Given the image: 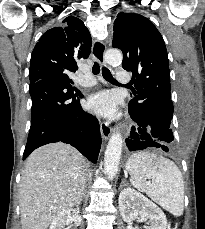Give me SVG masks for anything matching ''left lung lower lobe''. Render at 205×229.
Returning a JSON list of instances; mask_svg holds the SVG:
<instances>
[{
    "label": "left lung lower lobe",
    "instance_id": "left-lung-lower-lobe-1",
    "mask_svg": "<svg viewBox=\"0 0 205 229\" xmlns=\"http://www.w3.org/2000/svg\"><path fill=\"white\" fill-rule=\"evenodd\" d=\"M131 118L137 123V128H131L130 138L126 139L130 151L141 150L147 147L162 148L165 152L170 150L168 145L174 139L172 129H166V125L148 120L144 115L129 108Z\"/></svg>",
    "mask_w": 205,
    "mask_h": 229
}]
</instances>
